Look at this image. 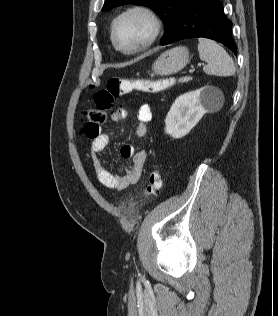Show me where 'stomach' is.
<instances>
[{
  "mask_svg": "<svg viewBox=\"0 0 278 316\" xmlns=\"http://www.w3.org/2000/svg\"><path fill=\"white\" fill-rule=\"evenodd\" d=\"M188 62V49L186 47H176L162 53L154 62L152 70L157 75H172L182 70Z\"/></svg>",
  "mask_w": 278,
  "mask_h": 316,
  "instance_id": "0dacf381",
  "label": "stomach"
}]
</instances>
